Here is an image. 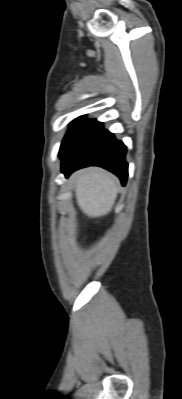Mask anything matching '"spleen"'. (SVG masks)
Instances as JSON below:
<instances>
[{
	"label": "spleen",
	"mask_w": 182,
	"mask_h": 399,
	"mask_svg": "<svg viewBox=\"0 0 182 399\" xmlns=\"http://www.w3.org/2000/svg\"><path fill=\"white\" fill-rule=\"evenodd\" d=\"M76 199L89 217H99L111 211L118 192L117 179L101 169H88L76 176Z\"/></svg>",
	"instance_id": "obj_1"
}]
</instances>
